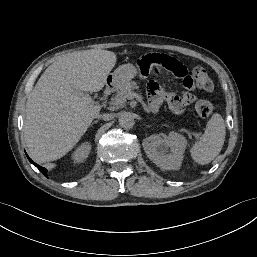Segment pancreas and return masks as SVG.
Listing matches in <instances>:
<instances>
[{"label":"pancreas","instance_id":"obj_1","mask_svg":"<svg viewBox=\"0 0 257 257\" xmlns=\"http://www.w3.org/2000/svg\"><path fill=\"white\" fill-rule=\"evenodd\" d=\"M138 89V85L136 82H127L126 84L120 86L119 91L111 99L110 109L116 110L118 108H122L125 105L127 99H129L132 90Z\"/></svg>","mask_w":257,"mask_h":257}]
</instances>
